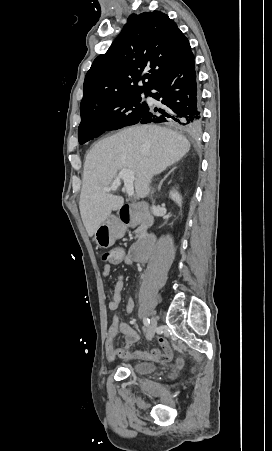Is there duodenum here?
<instances>
[{
  "label": "duodenum",
  "mask_w": 272,
  "mask_h": 451,
  "mask_svg": "<svg viewBox=\"0 0 272 451\" xmlns=\"http://www.w3.org/2000/svg\"><path fill=\"white\" fill-rule=\"evenodd\" d=\"M119 220L124 225L144 224L150 226L152 219L145 204H125L119 210ZM156 237L152 233L145 234L129 250V257L136 262H144L151 255Z\"/></svg>",
  "instance_id": "1"
}]
</instances>
